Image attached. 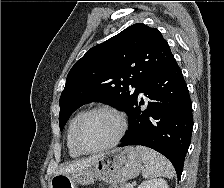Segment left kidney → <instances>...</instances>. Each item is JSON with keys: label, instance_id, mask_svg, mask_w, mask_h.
<instances>
[{"label": "left kidney", "instance_id": "obj_1", "mask_svg": "<svg viewBox=\"0 0 224 188\" xmlns=\"http://www.w3.org/2000/svg\"><path fill=\"white\" fill-rule=\"evenodd\" d=\"M138 188H169V186L164 179L156 178L142 182Z\"/></svg>", "mask_w": 224, "mask_h": 188}]
</instances>
